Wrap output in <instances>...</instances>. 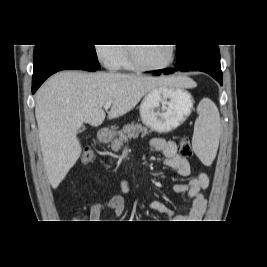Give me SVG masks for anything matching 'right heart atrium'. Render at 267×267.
<instances>
[{"instance_id": "d8ad5b80", "label": "right heart atrium", "mask_w": 267, "mask_h": 267, "mask_svg": "<svg viewBox=\"0 0 267 267\" xmlns=\"http://www.w3.org/2000/svg\"><path fill=\"white\" fill-rule=\"evenodd\" d=\"M121 48L113 44H98L95 46L97 59L108 69L117 67V59Z\"/></svg>"}]
</instances>
